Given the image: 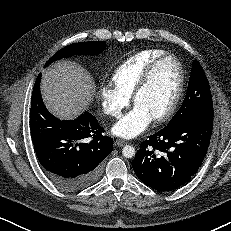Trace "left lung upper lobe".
I'll return each mask as SVG.
<instances>
[{"label": "left lung upper lobe", "instance_id": "5c2ea615", "mask_svg": "<svg viewBox=\"0 0 231 231\" xmlns=\"http://www.w3.org/2000/svg\"><path fill=\"white\" fill-rule=\"evenodd\" d=\"M189 114L213 115V102L206 75L197 60L193 61L186 97L168 124Z\"/></svg>", "mask_w": 231, "mask_h": 231}]
</instances>
